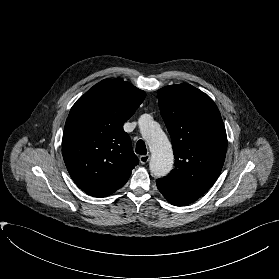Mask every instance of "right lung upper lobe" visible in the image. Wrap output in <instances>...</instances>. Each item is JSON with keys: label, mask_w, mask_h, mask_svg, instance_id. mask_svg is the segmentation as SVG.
I'll return each mask as SVG.
<instances>
[{"label": "right lung upper lobe", "mask_w": 279, "mask_h": 279, "mask_svg": "<svg viewBox=\"0 0 279 279\" xmlns=\"http://www.w3.org/2000/svg\"><path fill=\"white\" fill-rule=\"evenodd\" d=\"M146 93L121 79H105L87 91L67 118L62 154L77 184L93 197L121 188L139 163L123 124Z\"/></svg>", "instance_id": "right-lung-upper-lobe-1"}]
</instances>
